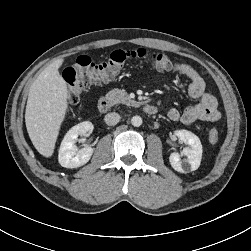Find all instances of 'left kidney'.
<instances>
[{"label": "left kidney", "instance_id": "5707ae66", "mask_svg": "<svg viewBox=\"0 0 251 251\" xmlns=\"http://www.w3.org/2000/svg\"><path fill=\"white\" fill-rule=\"evenodd\" d=\"M174 134L189 147L183 148L181 152V156H185L186 159H181L180 154L177 152L171 153L169 161L172 168L180 173H189L197 170L202 158L200 139L187 130H176Z\"/></svg>", "mask_w": 251, "mask_h": 251}]
</instances>
